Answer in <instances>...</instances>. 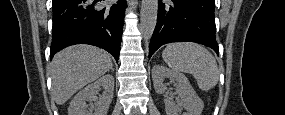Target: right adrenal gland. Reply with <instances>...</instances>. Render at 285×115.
Segmentation results:
<instances>
[{
	"label": "right adrenal gland",
	"instance_id": "right-adrenal-gland-1",
	"mask_svg": "<svg viewBox=\"0 0 285 115\" xmlns=\"http://www.w3.org/2000/svg\"><path fill=\"white\" fill-rule=\"evenodd\" d=\"M110 69H111V71H112V72L114 71L113 66H111V68H110Z\"/></svg>",
	"mask_w": 285,
	"mask_h": 115
}]
</instances>
